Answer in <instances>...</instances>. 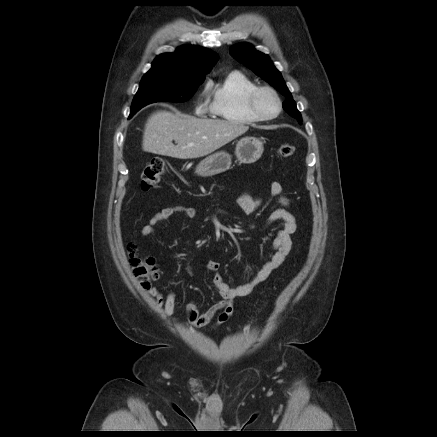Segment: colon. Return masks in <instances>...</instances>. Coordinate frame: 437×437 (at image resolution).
Instances as JSON below:
<instances>
[{
    "mask_svg": "<svg viewBox=\"0 0 437 437\" xmlns=\"http://www.w3.org/2000/svg\"><path fill=\"white\" fill-rule=\"evenodd\" d=\"M295 147L289 144L281 145L278 148V154L281 157L293 156ZM165 172V161L161 157L153 158L144 168L141 175V189L149 191L157 186L162 175ZM130 263L133 273L137 278L140 286L146 290H150L153 281L158 278V270L155 265V260L151 257L142 258L139 255L137 248L131 245L128 249Z\"/></svg>",
    "mask_w": 437,
    "mask_h": 437,
    "instance_id": "colon-1",
    "label": "colon"
}]
</instances>
